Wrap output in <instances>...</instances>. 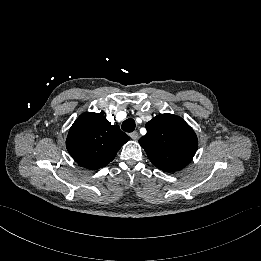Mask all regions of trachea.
<instances>
[{
    "label": "trachea",
    "mask_w": 261,
    "mask_h": 261,
    "mask_svg": "<svg viewBox=\"0 0 261 261\" xmlns=\"http://www.w3.org/2000/svg\"><path fill=\"white\" fill-rule=\"evenodd\" d=\"M136 124L134 119L128 118L122 123V130L125 132H133L135 130Z\"/></svg>",
    "instance_id": "3493384b"
}]
</instances>
